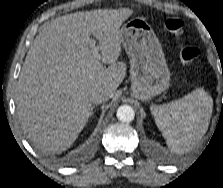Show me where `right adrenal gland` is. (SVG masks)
Here are the masks:
<instances>
[{"instance_id": "right-adrenal-gland-1", "label": "right adrenal gland", "mask_w": 223, "mask_h": 188, "mask_svg": "<svg viewBox=\"0 0 223 188\" xmlns=\"http://www.w3.org/2000/svg\"><path fill=\"white\" fill-rule=\"evenodd\" d=\"M95 108V106L91 107V111H90V115L93 113V109Z\"/></svg>"}]
</instances>
